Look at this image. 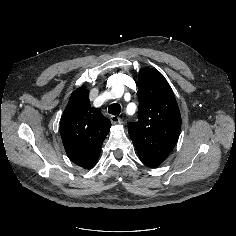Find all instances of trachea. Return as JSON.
I'll list each match as a JSON object with an SVG mask.
<instances>
[{
    "instance_id": "3493384b",
    "label": "trachea",
    "mask_w": 236,
    "mask_h": 236,
    "mask_svg": "<svg viewBox=\"0 0 236 236\" xmlns=\"http://www.w3.org/2000/svg\"><path fill=\"white\" fill-rule=\"evenodd\" d=\"M121 112V106L118 103H113L108 108V113L112 115H119Z\"/></svg>"
}]
</instances>
